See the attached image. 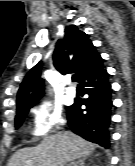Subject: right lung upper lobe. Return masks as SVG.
Returning <instances> with one entry per match:
<instances>
[{"label": "right lung upper lobe", "mask_w": 135, "mask_h": 166, "mask_svg": "<svg viewBox=\"0 0 135 166\" xmlns=\"http://www.w3.org/2000/svg\"><path fill=\"white\" fill-rule=\"evenodd\" d=\"M88 37L75 25L65 28L64 38L57 42L53 53L54 66L61 74L74 71L79 78L102 59ZM40 65L39 62L33 67L21 83L16 100L17 109L34 105L44 95Z\"/></svg>", "instance_id": "cb5924a9"}]
</instances>
